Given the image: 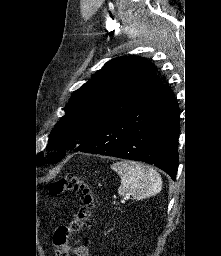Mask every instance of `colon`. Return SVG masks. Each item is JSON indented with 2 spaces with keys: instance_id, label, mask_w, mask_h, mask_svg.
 <instances>
[{
  "instance_id": "1",
  "label": "colon",
  "mask_w": 221,
  "mask_h": 256,
  "mask_svg": "<svg viewBox=\"0 0 221 256\" xmlns=\"http://www.w3.org/2000/svg\"><path fill=\"white\" fill-rule=\"evenodd\" d=\"M52 196L68 192H80L82 194V206L79 209L75 220L68 227L59 228L53 238L57 256H68L67 241L69 236L83 228L89 220L95 205V194L86 179L81 176L68 175L50 183L48 187Z\"/></svg>"
}]
</instances>
